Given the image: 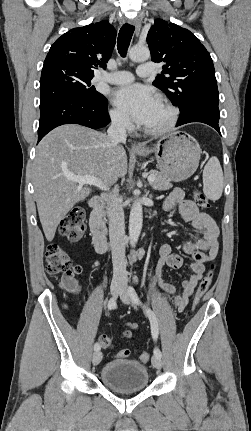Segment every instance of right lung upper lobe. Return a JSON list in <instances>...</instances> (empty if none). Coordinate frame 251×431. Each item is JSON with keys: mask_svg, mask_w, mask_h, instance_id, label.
Returning <instances> with one entry per match:
<instances>
[{"mask_svg": "<svg viewBox=\"0 0 251 431\" xmlns=\"http://www.w3.org/2000/svg\"><path fill=\"white\" fill-rule=\"evenodd\" d=\"M115 42L116 30L108 21L71 29L51 46L43 68L51 64L67 63L94 74L95 68H106Z\"/></svg>", "mask_w": 251, "mask_h": 431, "instance_id": "right-lung-upper-lobe-1", "label": "right lung upper lobe"}]
</instances>
